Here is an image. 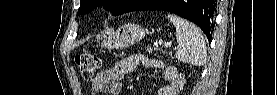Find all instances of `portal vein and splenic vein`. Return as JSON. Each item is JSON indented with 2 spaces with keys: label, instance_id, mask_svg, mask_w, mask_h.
<instances>
[{
  "label": "portal vein and splenic vein",
  "instance_id": "obj_1",
  "mask_svg": "<svg viewBox=\"0 0 277 95\" xmlns=\"http://www.w3.org/2000/svg\"><path fill=\"white\" fill-rule=\"evenodd\" d=\"M171 45H172V42H165V43H164V46H165L166 48L171 47Z\"/></svg>",
  "mask_w": 277,
  "mask_h": 95
}]
</instances>
